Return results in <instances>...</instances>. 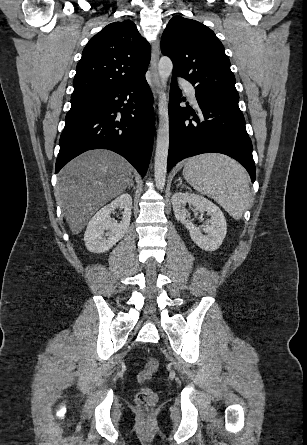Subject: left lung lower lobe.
<instances>
[{
	"mask_svg": "<svg viewBox=\"0 0 307 445\" xmlns=\"http://www.w3.org/2000/svg\"><path fill=\"white\" fill-rule=\"evenodd\" d=\"M180 96L181 91L173 76L169 97L170 143L167 171L184 158L217 152L239 161L254 182L256 169L252 143L239 107L196 96L203 114H200V120L195 111L179 106ZM190 115L194 119H189Z\"/></svg>",
	"mask_w": 307,
	"mask_h": 445,
	"instance_id": "obj_1",
	"label": "left lung lower lobe"
}]
</instances>
